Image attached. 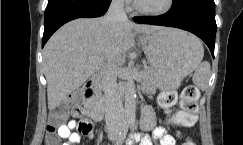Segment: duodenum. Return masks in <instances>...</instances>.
I'll list each match as a JSON object with an SVG mask.
<instances>
[{
	"label": "duodenum",
	"instance_id": "duodenum-1",
	"mask_svg": "<svg viewBox=\"0 0 243 145\" xmlns=\"http://www.w3.org/2000/svg\"><path fill=\"white\" fill-rule=\"evenodd\" d=\"M101 74L102 69L95 70L83 88L84 104L87 115L95 121H99L103 118L106 109V101L97 93V81ZM120 95H123L122 89Z\"/></svg>",
	"mask_w": 243,
	"mask_h": 145
}]
</instances>
